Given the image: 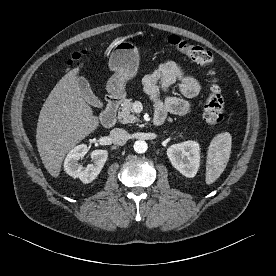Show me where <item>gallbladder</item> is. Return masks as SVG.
<instances>
[{
  "label": "gallbladder",
  "mask_w": 276,
  "mask_h": 276,
  "mask_svg": "<svg viewBox=\"0 0 276 276\" xmlns=\"http://www.w3.org/2000/svg\"><path fill=\"white\" fill-rule=\"evenodd\" d=\"M76 83L80 89L82 98L89 104L95 106L99 103V99L92 92L88 81L84 77H78Z\"/></svg>",
  "instance_id": "bac80fb5"
}]
</instances>
